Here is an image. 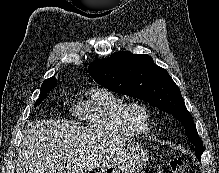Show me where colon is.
<instances>
[{
	"mask_svg": "<svg viewBox=\"0 0 219 173\" xmlns=\"http://www.w3.org/2000/svg\"><path fill=\"white\" fill-rule=\"evenodd\" d=\"M170 173H188L189 167L187 163L181 158H173L169 161Z\"/></svg>",
	"mask_w": 219,
	"mask_h": 173,
	"instance_id": "colon-1",
	"label": "colon"
}]
</instances>
